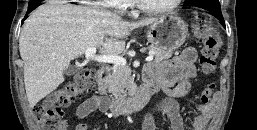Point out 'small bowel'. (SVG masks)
I'll use <instances>...</instances> for the list:
<instances>
[{
	"label": "small bowel",
	"mask_w": 257,
	"mask_h": 130,
	"mask_svg": "<svg viewBox=\"0 0 257 130\" xmlns=\"http://www.w3.org/2000/svg\"><path fill=\"white\" fill-rule=\"evenodd\" d=\"M195 60L196 51L187 48L171 60L161 61L146 68L144 78L155 80L168 98L158 103L146 116L142 130H156V114L167 117L171 130H184V122L175 98L183 97L189 92L191 80L196 76ZM96 110H106V100L101 95H93L83 101L77 107L75 116L78 120H82ZM213 110L214 107L210 104L197 105L196 115L191 121L192 130H204ZM75 130L88 129L86 125L78 124Z\"/></svg>",
	"instance_id": "c3829d8e"
}]
</instances>
